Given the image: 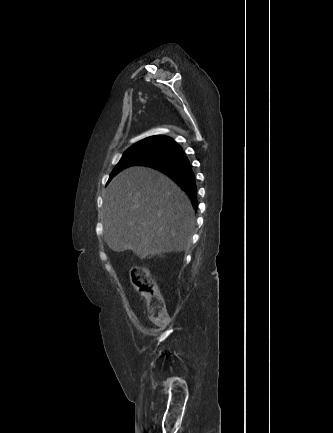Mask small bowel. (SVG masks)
Returning <instances> with one entry per match:
<instances>
[{"instance_id":"1","label":"small bowel","mask_w":333,"mask_h":433,"mask_svg":"<svg viewBox=\"0 0 333 433\" xmlns=\"http://www.w3.org/2000/svg\"><path fill=\"white\" fill-rule=\"evenodd\" d=\"M134 317H135V319L136 320H138L139 318H138V316H137V314H134Z\"/></svg>"}]
</instances>
